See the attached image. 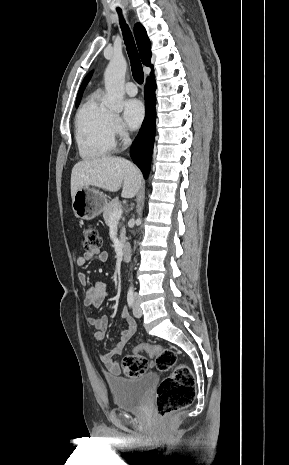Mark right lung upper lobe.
<instances>
[{
  "label": "right lung upper lobe",
  "instance_id": "1",
  "mask_svg": "<svg viewBox=\"0 0 289 465\" xmlns=\"http://www.w3.org/2000/svg\"><path fill=\"white\" fill-rule=\"evenodd\" d=\"M134 34H135L137 46H138L140 56H141V60H142L143 64L153 68L152 65L150 64L151 55H152L151 54L150 41H149V39L147 37V33H146L145 28L140 23H137L135 25ZM91 76H92V72H90L85 77V79L83 80V82H82V84L80 86L78 95H77L76 102L80 101L82 93H83L87 83L89 82ZM151 76H153V70L151 71Z\"/></svg>",
  "mask_w": 289,
  "mask_h": 465
}]
</instances>
